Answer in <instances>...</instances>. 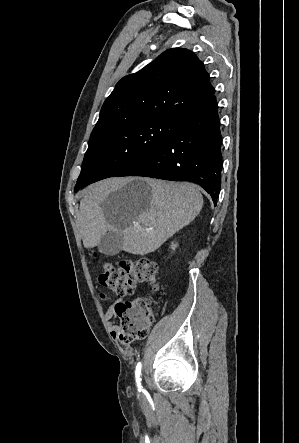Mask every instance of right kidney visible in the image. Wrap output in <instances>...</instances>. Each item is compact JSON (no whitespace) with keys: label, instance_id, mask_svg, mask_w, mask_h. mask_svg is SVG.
<instances>
[{"label":"right kidney","instance_id":"ca27d5eb","mask_svg":"<svg viewBox=\"0 0 299 443\" xmlns=\"http://www.w3.org/2000/svg\"><path fill=\"white\" fill-rule=\"evenodd\" d=\"M171 248H172L173 250H175V248H176V244H173V243H172Z\"/></svg>","mask_w":299,"mask_h":443}]
</instances>
